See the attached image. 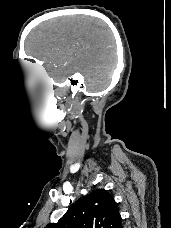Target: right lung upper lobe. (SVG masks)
Segmentation results:
<instances>
[{
  "mask_svg": "<svg viewBox=\"0 0 171 228\" xmlns=\"http://www.w3.org/2000/svg\"><path fill=\"white\" fill-rule=\"evenodd\" d=\"M46 228H122L117 203L105 189L80 198L57 222Z\"/></svg>",
  "mask_w": 171,
  "mask_h": 228,
  "instance_id": "right-lung-upper-lobe-1",
  "label": "right lung upper lobe"
}]
</instances>
